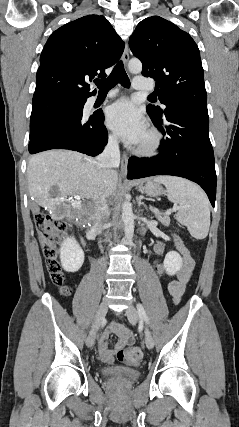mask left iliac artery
<instances>
[{
  "instance_id": "obj_1",
  "label": "left iliac artery",
  "mask_w": 239,
  "mask_h": 427,
  "mask_svg": "<svg viewBox=\"0 0 239 427\" xmlns=\"http://www.w3.org/2000/svg\"><path fill=\"white\" fill-rule=\"evenodd\" d=\"M137 310H138L140 318L144 319L145 322L148 324L149 323V319L147 317V314H146L145 309L142 306V304H140V303L137 304Z\"/></svg>"
}]
</instances>
